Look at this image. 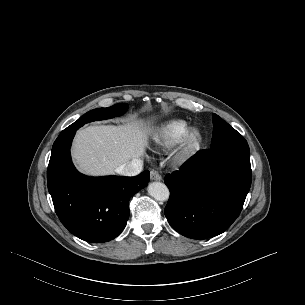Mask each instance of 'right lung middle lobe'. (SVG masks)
Wrapping results in <instances>:
<instances>
[{
  "label": "right lung middle lobe",
  "mask_w": 305,
  "mask_h": 305,
  "mask_svg": "<svg viewBox=\"0 0 305 305\" xmlns=\"http://www.w3.org/2000/svg\"><path fill=\"white\" fill-rule=\"evenodd\" d=\"M128 109V104L126 103H119L116 105H113L108 108H99V109H94L83 116H81L76 122L71 124L69 127H67L64 132H67L71 130L73 127L78 126L81 127L84 124L95 121V120H103V119H108V118H113L116 116H120L124 114Z\"/></svg>",
  "instance_id": "dd1d6c3e"
}]
</instances>
